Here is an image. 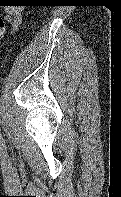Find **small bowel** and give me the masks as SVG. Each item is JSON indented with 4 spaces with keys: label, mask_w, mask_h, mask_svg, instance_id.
Returning <instances> with one entry per match:
<instances>
[{
    "label": "small bowel",
    "mask_w": 121,
    "mask_h": 197,
    "mask_svg": "<svg viewBox=\"0 0 121 197\" xmlns=\"http://www.w3.org/2000/svg\"><path fill=\"white\" fill-rule=\"evenodd\" d=\"M6 19L10 23L12 31L16 30L22 22V9L17 5L6 7Z\"/></svg>",
    "instance_id": "c3829d8e"
}]
</instances>
